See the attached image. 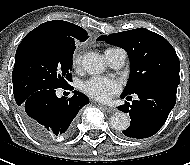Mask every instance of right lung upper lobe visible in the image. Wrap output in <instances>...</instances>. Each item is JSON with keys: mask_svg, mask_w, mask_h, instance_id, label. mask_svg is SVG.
Segmentation results:
<instances>
[{"mask_svg": "<svg viewBox=\"0 0 190 165\" xmlns=\"http://www.w3.org/2000/svg\"><path fill=\"white\" fill-rule=\"evenodd\" d=\"M37 28L56 30L66 36L77 38L81 41H85L88 38L87 32L83 28L62 20L49 21L39 25Z\"/></svg>", "mask_w": 190, "mask_h": 165, "instance_id": "1", "label": "right lung upper lobe"}]
</instances>
